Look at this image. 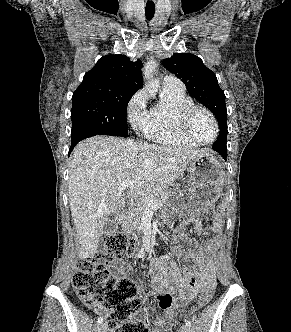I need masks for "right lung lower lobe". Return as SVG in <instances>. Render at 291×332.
I'll return each instance as SVG.
<instances>
[{
	"instance_id": "right-lung-lower-lobe-1",
	"label": "right lung lower lobe",
	"mask_w": 291,
	"mask_h": 332,
	"mask_svg": "<svg viewBox=\"0 0 291 332\" xmlns=\"http://www.w3.org/2000/svg\"><path fill=\"white\" fill-rule=\"evenodd\" d=\"M96 129L95 127L90 124V123H85L77 127H72V132H71V139H72V144L69 150V154L74 148V146L82 140V137L84 136H93L96 135Z\"/></svg>"
}]
</instances>
